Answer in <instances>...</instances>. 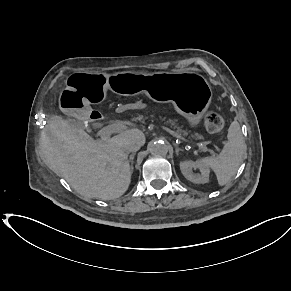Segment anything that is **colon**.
Masks as SVG:
<instances>
[{
  "label": "colon",
  "mask_w": 291,
  "mask_h": 291,
  "mask_svg": "<svg viewBox=\"0 0 291 291\" xmlns=\"http://www.w3.org/2000/svg\"><path fill=\"white\" fill-rule=\"evenodd\" d=\"M205 127L211 133H220L224 128V119L217 111H211L205 118Z\"/></svg>",
  "instance_id": "1"
}]
</instances>
